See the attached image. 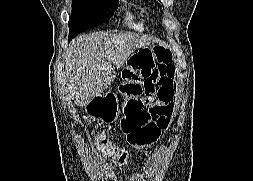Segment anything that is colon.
Returning <instances> with one entry per match:
<instances>
[{"label":"colon","instance_id":"5ec220e1","mask_svg":"<svg viewBox=\"0 0 253 181\" xmlns=\"http://www.w3.org/2000/svg\"><path fill=\"white\" fill-rule=\"evenodd\" d=\"M142 58L136 57L130 67L123 72V82L119 85V95L124 99L122 131L127 135L131 145L143 147L157 142L163 129L166 128L169 117L159 95H149L143 88L144 72L136 70L134 63H142L144 59H153L159 64H166L170 54L160 44L156 48H139ZM103 151L121 161L125 152L116 148L104 136L99 137Z\"/></svg>","mask_w":253,"mask_h":181}]
</instances>
